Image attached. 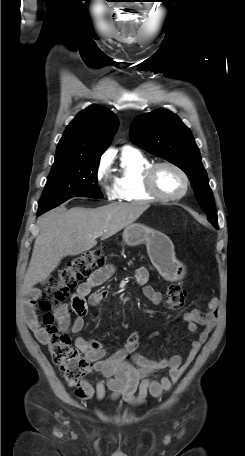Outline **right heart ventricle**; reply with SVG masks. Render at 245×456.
<instances>
[{"label": "right heart ventricle", "instance_id": "e07e8e85", "mask_svg": "<svg viewBox=\"0 0 245 456\" xmlns=\"http://www.w3.org/2000/svg\"><path fill=\"white\" fill-rule=\"evenodd\" d=\"M151 161L133 148H125L120 157V171L114 181L118 190V198L125 202H149L150 196L143 184L144 170Z\"/></svg>", "mask_w": 245, "mask_h": 456}]
</instances>
